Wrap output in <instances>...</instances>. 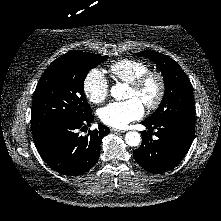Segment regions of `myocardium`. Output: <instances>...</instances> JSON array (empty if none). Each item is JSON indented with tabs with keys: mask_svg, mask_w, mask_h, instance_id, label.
Listing matches in <instances>:
<instances>
[{
	"mask_svg": "<svg viewBox=\"0 0 221 221\" xmlns=\"http://www.w3.org/2000/svg\"><path fill=\"white\" fill-rule=\"evenodd\" d=\"M151 79L156 80L158 89L155 98L144 104L148 110L158 108L165 96L166 83L163 74L156 70H148L129 83L130 88H132L135 92H140L145 84Z\"/></svg>",
	"mask_w": 221,
	"mask_h": 221,
	"instance_id": "myocardium-1",
	"label": "myocardium"
}]
</instances>
